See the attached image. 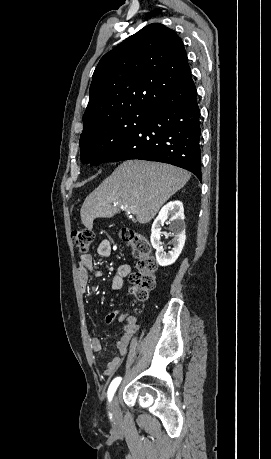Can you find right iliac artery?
Returning a JSON list of instances; mask_svg holds the SVG:
<instances>
[{
  "instance_id": "obj_1",
  "label": "right iliac artery",
  "mask_w": 271,
  "mask_h": 459,
  "mask_svg": "<svg viewBox=\"0 0 271 459\" xmlns=\"http://www.w3.org/2000/svg\"><path fill=\"white\" fill-rule=\"evenodd\" d=\"M120 382H121V377H117L111 382V384L109 386V389H108V399H109V401L112 400V397H113L117 387L119 386Z\"/></svg>"
}]
</instances>
